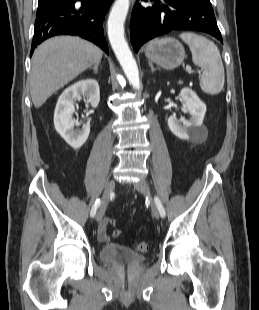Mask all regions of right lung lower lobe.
<instances>
[{
    "mask_svg": "<svg viewBox=\"0 0 259 310\" xmlns=\"http://www.w3.org/2000/svg\"><path fill=\"white\" fill-rule=\"evenodd\" d=\"M81 1L82 8L75 7ZM113 0H66L38 7L30 56L38 44L55 35H78L109 54L104 41L103 20Z\"/></svg>",
    "mask_w": 259,
    "mask_h": 310,
    "instance_id": "obj_1",
    "label": "right lung lower lobe"
}]
</instances>
